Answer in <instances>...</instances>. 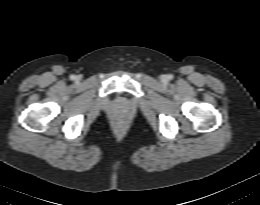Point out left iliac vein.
<instances>
[{"label":"left iliac vein","mask_w":260,"mask_h":205,"mask_svg":"<svg viewBox=\"0 0 260 205\" xmlns=\"http://www.w3.org/2000/svg\"><path fill=\"white\" fill-rule=\"evenodd\" d=\"M163 80H165L166 79V77L165 76H163V78H162Z\"/></svg>","instance_id":"obj_1"}]
</instances>
